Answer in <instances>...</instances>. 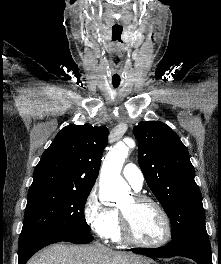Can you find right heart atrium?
<instances>
[{
	"label": "right heart atrium",
	"instance_id": "1",
	"mask_svg": "<svg viewBox=\"0 0 221 264\" xmlns=\"http://www.w3.org/2000/svg\"><path fill=\"white\" fill-rule=\"evenodd\" d=\"M83 215L87 225L96 235L101 238L110 237L116 223V211L100 201L95 188L86 196Z\"/></svg>",
	"mask_w": 221,
	"mask_h": 264
}]
</instances>
